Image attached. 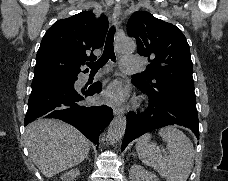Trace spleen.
<instances>
[{
  "label": "spleen",
  "instance_id": "3e777b00",
  "mask_svg": "<svg viewBox=\"0 0 228 181\" xmlns=\"http://www.w3.org/2000/svg\"><path fill=\"white\" fill-rule=\"evenodd\" d=\"M159 135L165 141L169 155H162L159 147L151 145V135H143L136 141L139 159L166 181H187L194 163L193 143L175 127H164Z\"/></svg>",
  "mask_w": 228,
  "mask_h": 181
}]
</instances>
